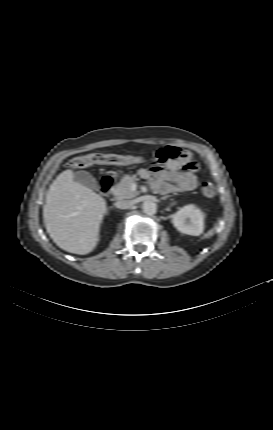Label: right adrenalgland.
<instances>
[{
	"label": "right adrenal gland",
	"instance_id": "right-adrenal-gland-1",
	"mask_svg": "<svg viewBox=\"0 0 273 430\" xmlns=\"http://www.w3.org/2000/svg\"><path fill=\"white\" fill-rule=\"evenodd\" d=\"M109 209H115L114 207H109Z\"/></svg>",
	"mask_w": 273,
	"mask_h": 430
}]
</instances>
